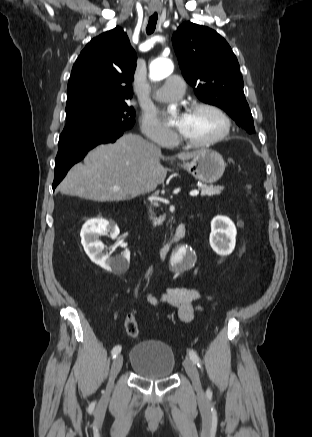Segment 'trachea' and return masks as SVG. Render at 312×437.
I'll return each instance as SVG.
<instances>
[{"mask_svg":"<svg viewBox=\"0 0 312 437\" xmlns=\"http://www.w3.org/2000/svg\"><path fill=\"white\" fill-rule=\"evenodd\" d=\"M157 20H158V15L155 13L153 14L150 18H149V22L146 28V32L147 34H152L156 28V24H157Z\"/></svg>","mask_w":312,"mask_h":437,"instance_id":"trachea-1","label":"trachea"}]
</instances>
